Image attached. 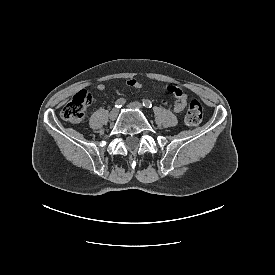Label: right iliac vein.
Segmentation results:
<instances>
[{
  "instance_id": "63e3f726",
  "label": "right iliac vein",
  "mask_w": 275,
  "mask_h": 275,
  "mask_svg": "<svg viewBox=\"0 0 275 275\" xmlns=\"http://www.w3.org/2000/svg\"><path fill=\"white\" fill-rule=\"evenodd\" d=\"M118 115V110L117 109H113L110 114H109V118L110 120H115L117 118Z\"/></svg>"
}]
</instances>
